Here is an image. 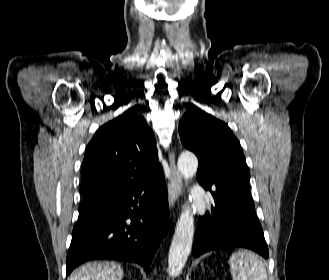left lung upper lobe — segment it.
<instances>
[{
    "instance_id": "left-lung-upper-lobe-1",
    "label": "left lung upper lobe",
    "mask_w": 329,
    "mask_h": 280,
    "mask_svg": "<svg viewBox=\"0 0 329 280\" xmlns=\"http://www.w3.org/2000/svg\"><path fill=\"white\" fill-rule=\"evenodd\" d=\"M184 146L199 160L198 182L213 196L248 187L250 173L241 146L228 125L195 108L179 123Z\"/></svg>"
}]
</instances>
